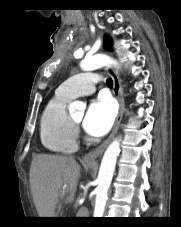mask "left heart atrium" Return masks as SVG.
I'll use <instances>...</instances> for the list:
<instances>
[{"label":"left heart atrium","instance_id":"39dd6f15","mask_svg":"<svg viewBox=\"0 0 181 227\" xmlns=\"http://www.w3.org/2000/svg\"><path fill=\"white\" fill-rule=\"evenodd\" d=\"M115 106L108 98L93 101L86 112L83 127L93 136H102L111 128L115 118Z\"/></svg>","mask_w":181,"mask_h":227}]
</instances>
